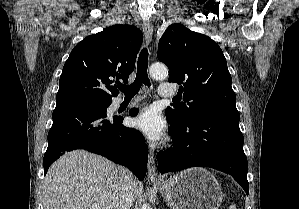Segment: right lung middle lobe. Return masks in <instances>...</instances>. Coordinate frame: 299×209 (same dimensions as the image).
I'll list each match as a JSON object with an SVG mask.
<instances>
[{
	"label": "right lung middle lobe",
	"mask_w": 299,
	"mask_h": 209,
	"mask_svg": "<svg viewBox=\"0 0 299 209\" xmlns=\"http://www.w3.org/2000/svg\"><path fill=\"white\" fill-rule=\"evenodd\" d=\"M83 104H86L88 106H92V107H95V108H98L102 111H106L107 110V107L111 104V102H82Z\"/></svg>",
	"instance_id": "right-lung-middle-lobe-1"
}]
</instances>
